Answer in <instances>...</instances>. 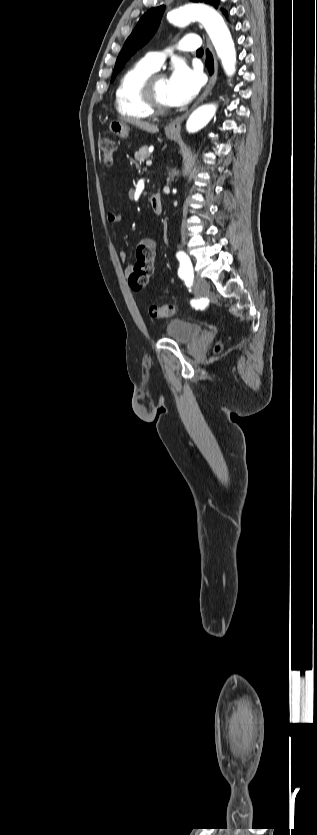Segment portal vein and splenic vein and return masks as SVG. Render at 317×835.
<instances>
[{
  "instance_id": "18ae733b",
  "label": "portal vein and splenic vein",
  "mask_w": 317,
  "mask_h": 835,
  "mask_svg": "<svg viewBox=\"0 0 317 835\" xmlns=\"http://www.w3.org/2000/svg\"><path fill=\"white\" fill-rule=\"evenodd\" d=\"M151 165H152V161L149 160V161L146 162V166H151Z\"/></svg>"
}]
</instances>
